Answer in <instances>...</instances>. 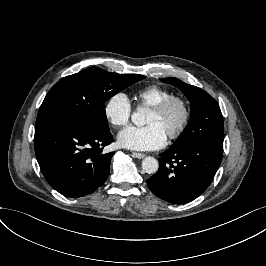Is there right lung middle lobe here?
I'll list each match as a JSON object with an SVG mask.
<instances>
[{
  "label": "right lung middle lobe",
  "mask_w": 266,
  "mask_h": 266,
  "mask_svg": "<svg viewBox=\"0 0 266 266\" xmlns=\"http://www.w3.org/2000/svg\"><path fill=\"white\" fill-rule=\"evenodd\" d=\"M144 78L137 74H115L97 67L64 77L46 95L37 115L36 126L64 117L95 131H109L104 103Z\"/></svg>",
  "instance_id": "dd1d6c3e"
}]
</instances>
